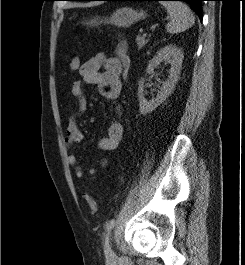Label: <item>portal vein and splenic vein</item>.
I'll list each match as a JSON object with an SVG mask.
<instances>
[{"label": "portal vein and splenic vein", "instance_id": "18ae733b", "mask_svg": "<svg viewBox=\"0 0 245 265\" xmlns=\"http://www.w3.org/2000/svg\"><path fill=\"white\" fill-rule=\"evenodd\" d=\"M143 35H144V36H146V35H147V33H144Z\"/></svg>", "mask_w": 245, "mask_h": 265}]
</instances>
